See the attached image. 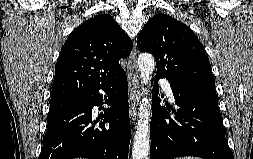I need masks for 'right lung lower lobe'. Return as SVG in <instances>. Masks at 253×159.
I'll use <instances>...</instances> for the list:
<instances>
[{"label":"right lung lower lobe","mask_w":253,"mask_h":159,"mask_svg":"<svg viewBox=\"0 0 253 159\" xmlns=\"http://www.w3.org/2000/svg\"><path fill=\"white\" fill-rule=\"evenodd\" d=\"M100 89L108 94L104 99L111 107L94 120L93 107L103 104ZM99 119L103 122L97 123ZM47 123L38 159H128L131 128L125 72L48 118Z\"/></svg>","instance_id":"1"}]
</instances>
